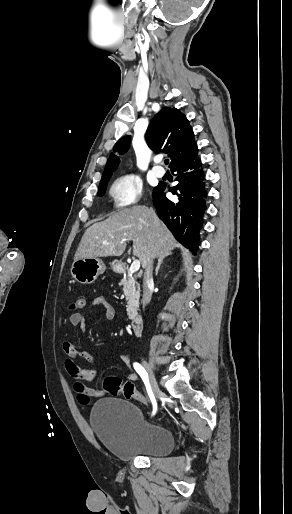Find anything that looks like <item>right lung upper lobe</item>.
<instances>
[{
  "label": "right lung upper lobe",
  "instance_id": "cb5924a9",
  "mask_svg": "<svg viewBox=\"0 0 292 514\" xmlns=\"http://www.w3.org/2000/svg\"><path fill=\"white\" fill-rule=\"evenodd\" d=\"M146 141L156 153L168 154L171 159L169 165L171 169L198 152L189 121L176 108L165 107L154 116L146 132ZM129 147L130 136H124L115 144L113 150L122 155ZM119 163V157L111 153L101 181L110 179Z\"/></svg>",
  "mask_w": 292,
  "mask_h": 514
}]
</instances>
